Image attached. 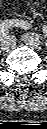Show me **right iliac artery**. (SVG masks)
Listing matches in <instances>:
<instances>
[{"instance_id": "1", "label": "right iliac artery", "mask_w": 47, "mask_h": 129, "mask_svg": "<svg viewBox=\"0 0 47 129\" xmlns=\"http://www.w3.org/2000/svg\"><path fill=\"white\" fill-rule=\"evenodd\" d=\"M28 23L22 20H6L0 25V36L1 39L7 36L10 29L13 27L29 28Z\"/></svg>"}]
</instances>
